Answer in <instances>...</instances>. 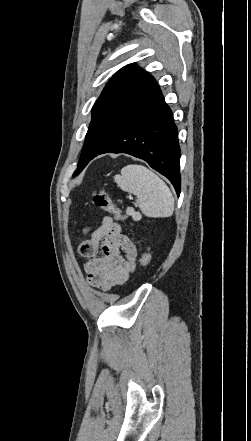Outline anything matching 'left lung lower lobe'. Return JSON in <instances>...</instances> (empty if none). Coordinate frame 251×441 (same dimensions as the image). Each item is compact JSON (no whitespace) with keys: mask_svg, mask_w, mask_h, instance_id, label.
<instances>
[{"mask_svg":"<svg viewBox=\"0 0 251 441\" xmlns=\"http://www.w3.org/2000/svg\"><path fill=\"white\" fill-rule=\"evenodd\" d=\"M103 153H127L145 160L170 180L179 196L177 127L157 84L126 115H104L89 126L82 168Z\"/></svg>","mask_w":251,"mask_h":441,"instance_id":"1","label":"left lung lower lobe"}]
</instances>
